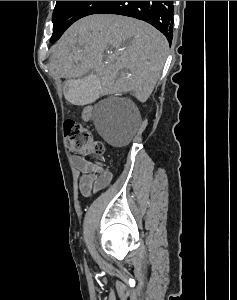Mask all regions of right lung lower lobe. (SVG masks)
<instances>
[{
    "label": "right lung lower lobe",
    "mask_w": 237,
    "mask_h": 300,
    "mask_svg": "<svg viewBox=\"0 0 237 300\" xmlns=\"http://www.w3.org/2000/svg\"><path fill=\"white\" fill-rule=\"evenodd\" d=\"M94 14H118L146 21L172 42V1H107Z\"/></svg>",
    "instance_id": "obj_1"
}]
</instances>
